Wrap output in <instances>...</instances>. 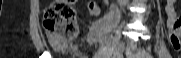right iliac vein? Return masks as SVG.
<instances>
[{
  "instance_id": "63e3f726",
  "label": "right iliac vein",
  "mask_w": 181,
  "mask_h": 58,
  "mask_svg": "<svg viewBox=\"0 0 181 58\" xmlns=\"http://www.w3.org/2000/svg\"><path fill=\"white\" fill-rule=\"evenodd\" d=\"M124 47H125L124 42L120 38L117 39L114 47V58H119L122 55Z\"/></svg>"
}]
</instances>
